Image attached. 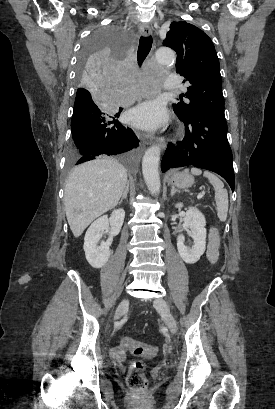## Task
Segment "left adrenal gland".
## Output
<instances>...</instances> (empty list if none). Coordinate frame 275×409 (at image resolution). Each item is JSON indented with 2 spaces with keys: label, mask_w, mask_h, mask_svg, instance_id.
<instances>
[{
  "label": "left adrenal gland",
  "mask_w": 275,
  "mask_h": 409,
  "mask_svg": "<svg viewBox=\"0 0 275 409\" xmlns=\"http://www.w3.org/2000/svg\"><path fill=\"white\" fill-rule=\"evenodd\" d=\"M174 192H179V190L178 188H175V186H172L171 192H170L171 196H173Z\"/></svg>",
  "instance_id": "a2214340"
}]
</instances>
